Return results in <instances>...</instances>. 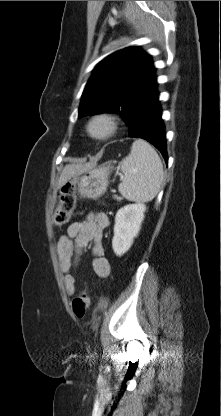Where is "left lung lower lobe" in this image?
<instances>
[{
    "mask_svg": "<svg viewBox=\"0 0 221 416\" xmlns=\"http://www.w3.org/2000/svg\"><path fill=\"white\" fill-rule=\"evenodd\" d=\"M159 93L156 88L146 96L137 106L133 120L129 125V137L145 139L154 145L168 163L166 150L165 126Z\"/></svg>",
    "mask_w": 221,
    "mask_h": 416,
    "instance_id": "0a47b994",
    "label": "left lung lower lobe"
}]
</instances>
